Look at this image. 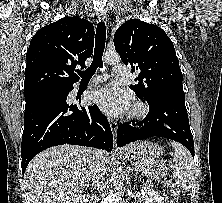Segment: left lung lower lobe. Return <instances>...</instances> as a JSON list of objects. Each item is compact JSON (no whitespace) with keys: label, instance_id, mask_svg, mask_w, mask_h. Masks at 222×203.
I'll list each match as a JSON object with an SVG mask.
<instances>
[{"label":"left lung lower lobe","instance_id":"1","mask_svg":"<svg viewBox=\"0 0 222 203\" xmlns=\"http://www.w3.org/2000/svg\"><path fill=\"white\" fill-rule=\"evenodd\" d=\"M149 113L142 121L122 123L117 130V145L152 136L172 139L183 144L194 157V141L185 107V96L161 94L148 102Z\"/></svg>","mask_w":222,"mask_h":203}]
</instances>
